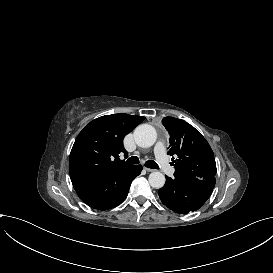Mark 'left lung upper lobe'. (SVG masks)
Masks as SVG:
<instances>
[{
	"label": "left lung upper lobe",
	"mask_w": 273,
	"mask_h": 273,
	"mask_svg": "<svg viewBox=\"0 0 273 273\" xmlns=\"http://www.w3.org/2000/svg\"><path fill=\"white\" fill-rule=\"evenodd\" d=\"M162 124L170 134L169 155H177L175 172L190 178L208 179L216 175L213 151L206 139L187 122L164 117Z\"/></svg>",
	"instance_id": "obj_1"
}]
</instances>
